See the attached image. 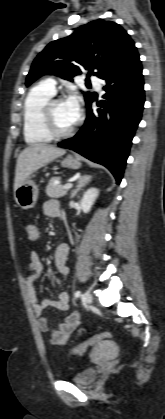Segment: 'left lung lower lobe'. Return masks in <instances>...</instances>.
<instances>
[{"label":"left lung lower lobe","instance_id":"0a47b994","mask_svg":"<svg viewBox=\"0 0 165 419\" xmlns=\"http://www.w3.org/2000/svg\"><path fill=\"white\" fill-rule=\"evenodd\" d=\"M101 79L103 100L91 109L92 98L86 103L87 118L81 130L58 144L104 165L121 182L135 130L144 105V82L137 49Z\"/></svg>","mask_w":165,"mask_h":419}]
</instances>
